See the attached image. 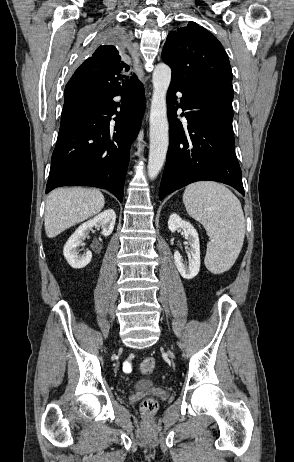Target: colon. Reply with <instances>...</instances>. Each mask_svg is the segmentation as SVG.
Segmentation results:
<instances>
[{
  "label": "colon",
  "instance_id": "5ec220e1",
  "mask_svg": "<svg viewBox=\"0 0 294 462\" xmlns=\"http://www.w3.org/2000/svg\"><path fill=\"white\" fill-rule=\"evenodd\" d=\"M155 359L152 357L145 358L140 364V370L143 374H149L154 370ZM142 411L147 414H153L157 409V402L153 398H147L141 403Z\"/></svg>",
  "mask_w": 294,
  "mask_h": 462
}]
</instances>
